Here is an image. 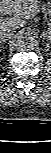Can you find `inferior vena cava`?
Listing matches in <instances>:
<instances>
[{
  "label": "inferior vena cava",
  "mask_w": 51,
  "mask_h": 153,
  "mask_svg": "<svg viewBox=\"0 0 51 153\" xmlns=\"http://www.w3.org/2000/svg\"><path fill=\"white\" fill-rule=\"evenodd\" d=\"M15 28L12 27H6V26H1L0 28V40H9L13 37L15 34Z\"/></svg>",
  "instance_id": "1"
}]
</instances>
